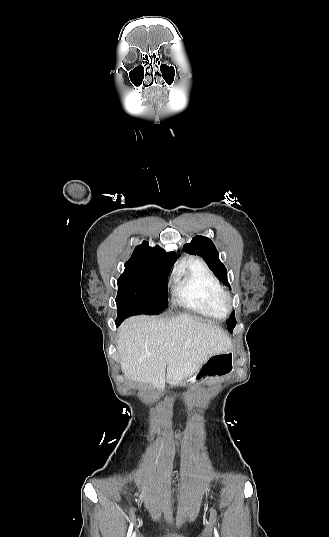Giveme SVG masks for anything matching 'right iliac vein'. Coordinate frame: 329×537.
Listing matches in <instances>:
<instances>
[{
  "instance_id": "right-iliac-vein-1",
  "label": "right iliac vein",
  "mask_w": 329,
  "mask_h": 537,
  "mask_svg": "<svg viewBox=\"0 0 329 537\" xmlns=\"http://www.w3.org/2000/svg\"><path fill=\"white\" fill-rule=\"evenodd\" d=\"M135 535H136V534L134 533V534H133V537H135Z\"/></svg>"
}]
</instances>
